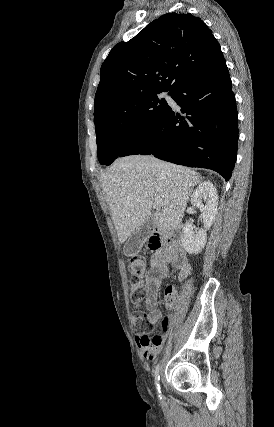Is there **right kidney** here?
<instances>
[{"label": "right kidney", "mask_w": 274, "mask_h": 427, "mask_svg": "<svg viewBox=\"0 0 274 427\" xmlns=\"http://www.w3.org/2000/svg\"><path fill=\"white\" fill-rule=\"evenodd\" d=\"M204 200L205 204H202ZM191 204L199 208L203 217L204 229H198L194 233L192 221H186L183 227L182 243L188 253H200L207 241V229L211 227L218 208V194L212 182H201L191 196Z\"/></svg>", "instance_id": "obj_1"}]
</instances>
